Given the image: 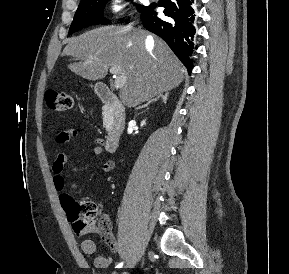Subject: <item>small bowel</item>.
Returning <instances> with one entry per match:
<instances>
[{"instance_id": "obj_1", "label": "small bowel", "mask_w": 289, "mask_h": 274, "mask_svg": "<svg viewBox=\"0 0 289 274\" xmlns=\"http://www.w3.org/2000/svg\"><path fill=\"white\" fill-rule=\"evenodd\" d=\"M80 135V131L76 128H71L68 130L60 131L56 137L55 142L57 145H63L67 143L69 140L73 138H77ZM98 145L93 147L92 154L94 156H99L102 154V147L100 144L102 141L100 139H97ZM69 159V153L68 152H60L57 154V156L54 159L53 165H52V173H53V186L56 191L61 192L65 188V179L62 175L63 169L65 164L67 163ZM115 166V163L112 159H107L103 165L102 170L104 172L111 171ZM72 188H77L78 185L76 182H73L71 184ZM103 241L109 246V248L113 252L118 251V243L116 242L112 232H110L109 237L101 236ZM81 250L86 255H94L97 251V245L96 242L93 239L86 238L81 241ZM112 259L104 254H98L94 259V265L96 268L103 269L109 267L111 264Z\"/></svg>"}]
</instances>
